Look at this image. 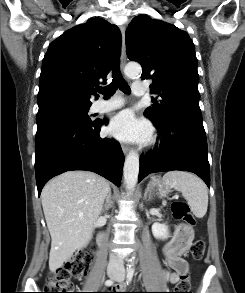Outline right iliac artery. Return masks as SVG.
I'll return each mask as SVG.
<instances>
[{"label":"right iliac artery","mask_w":245,"mask_h":293,"mask_svg":"<svg viewBox=\"0 0 245 293\" xmlns=\"http://www.w3.org/2000/svg\"><path fill=\"white\" fill-rule=\"evenodd\" d=\"M113 283H114V281L112 279H108V280H106L105 285L111 286Z\"/></svg>","instance_id":"82829eb1"}]
</instances>
